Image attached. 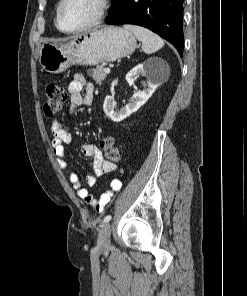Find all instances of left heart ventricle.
I'll use <instances>...</instances> for the list:
<instances>
[{"instance_id": "1", "label": "left heart ventricle", "mask_w": 247, "mask_h": 296, "mask_svg": "<svg viewBox=\"0 0 247 296\" xmlns=\"http://www.w3.org/2000/svg\"><path fill=\"white\" fill-rule=\"evenodd\" d=\"M97 13L96 0H67L60 12V25L65 30L80 28Z\"/></svg>"}]
</instances>
